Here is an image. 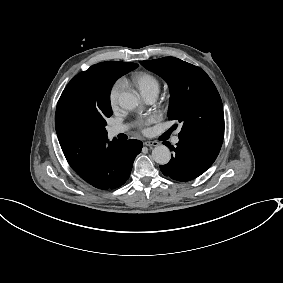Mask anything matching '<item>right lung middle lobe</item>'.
Wrapping results in <instances>:
<instances>
[{
	"instance_id": "1",
	"label": "right lung middle lobe",
	"mask_w": 283,
	"mask_h": 283,
	"mask_svg": "<svg viewBox=\"0 0 283 283\" xmlns=\"http://www.w3.org/2000/svg\"><path fill=\"white\" fill-rule=\"evenodd\" d=\"M112 115V109H109L106 113H105V116H103V118H100L99 120H100V122L104 125V126H106V120H105V118H107V117H110Z\"/></svg>"
}]
</instances>
